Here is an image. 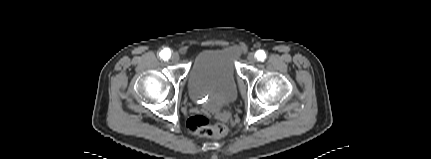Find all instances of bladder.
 <instances>
[{"label":"bladder","mask_w":431,"mask_h":159,"mask_svg":"<svg viewBox=\"0 0 431 159\" xmlns=\"http://www.w3.org/2000/svg\"><path fill=\"white\" fill-rule=\"evenodd\" d=\"M238 57L239 49L235 45L201 51L188 74L191 99L211 111L230 105L237 97Z\"/></svg>","instance_id":"bladder-1"}]
</instances>
